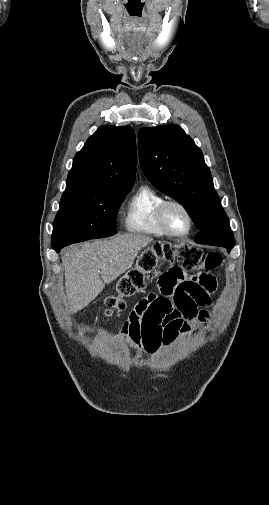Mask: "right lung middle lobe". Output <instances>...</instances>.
Returning a JSON list of instances; mask_svg holds the SVG:
<instances>
[{"label":"right lung middle lobe","instance_id":"right-lung-middle-lobe-1","mask_svg":"<svg viewBox=\"0 0 269 505\" xmlns=\"http://www.w3.org/2000/svg\"><path fill=\"white\" fill-rule=\"evenodd\" d=\"M129 192L65 190L54 221L52 247L116 234V215Z\"/></svg>","mask_w":269,"mask_h":505}]
</instances>
